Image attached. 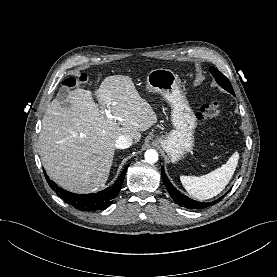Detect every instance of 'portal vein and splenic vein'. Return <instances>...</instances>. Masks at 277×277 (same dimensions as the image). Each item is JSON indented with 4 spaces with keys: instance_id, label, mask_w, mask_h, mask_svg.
Listing matches in <instances>:
<instances>
[{
    "instance_id": "portal-vein-and-splenic-vein-1",
    "label": "portal vein and splenic vein",
    "mask_w": 277,
    "mask_h": 277,
    "mask_svg": "<svg viewBox=\"0 0 277 277\" xmlns=\"http://www.w3.org/2000/svg\"><path fill=\"white\" fill-rule=\"evenodd\" d=\"M102 110H104L106 116L108 119L112 120V119H115V120H121L119 117H115L111 114V111L108 109V108H102Z\"/></svg>"
}]
</instances>
